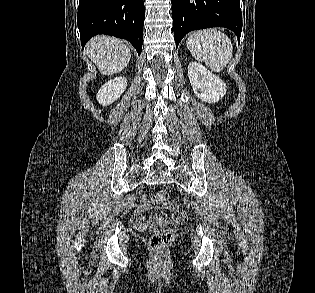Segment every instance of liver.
<instances>
[{
	"label": "liver",
	"mask_w": 315,
	"mask_h": 293,
	"mask_svg": "<svg viewBox=\"0 0 315 293\" xmlns=\"http://www.w3.org/2000/svg\"><path fill=\"white\" fill-rule=\"evenodd\" d=\"M86 53L102 75L122 71L131 58L130 49L121 40L109 36H96L86 45Z\"/></svg>",
	"instance_id": "6515ba94"
}]
</instances>
